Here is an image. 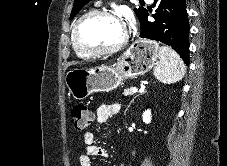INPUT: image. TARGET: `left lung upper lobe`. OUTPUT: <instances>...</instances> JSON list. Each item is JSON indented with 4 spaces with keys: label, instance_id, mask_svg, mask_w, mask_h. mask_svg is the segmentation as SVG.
<instances>
[{
    "label": "left lung upper lobe",
    "instance_id": "left-lung-upper-lobe-1",
    "mask_svg": "<svg viewBox=\"0 0 227 166\" xmlns=\"http://www.w3.org/2000/svg\"><path fill=\"white\" fill-rule=\"evenodd\" d=\"M90 0H75L73 9L70 15V19L74 18L76 14L80 11V9L89 2ZM139 21L141 22L145 16L146 9L143 7L135 8L134 9Z\"/></svg>",
    "mask_w": 227,
    "mask_h": 166
}]
</instances>
